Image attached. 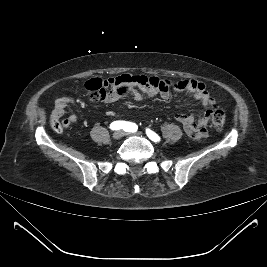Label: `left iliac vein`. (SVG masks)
I'll return each instance as SVG.
<instances>
[{"label":"left iliac vein","instance_id":"left-iliac-vein-1","mask_svg":"<svg viewBox=\"0 0 267 267\" xmlns=\"http://www.w3.org/2000/svg\"><path fill=\"white\" fill-rule=\"evenodd\" d=\"M125 135H127V136H142L143 133L140 131L134 132V133L127 132V133H125Z\"/></svg>","mask_w":267,"mask_h":267}]
</instances>
